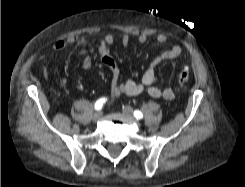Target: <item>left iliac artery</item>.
<instances>
[{
  "label": "left iliac artery",
  "mask_w": 245,
  "mask_h": 187,
  "mask_svg": "<svg viewBox=\"0 0 245 187\" xmlns=\"http://www.w3.org/2000/svg\"><path fill=\"white\" fill-rule=\"evenodd\" d=\"M134 116L137 118V119H142L143 118V114L141 111L139 110H135L134 111Z\"/></svg>",
  "instance_id": "obj_1"
}]
</instances>
